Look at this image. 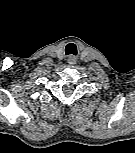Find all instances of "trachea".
I'll list each match as a JSON object with an SVG mask.
<instances>
[{
	"instance_id": "1",
	"label": "trachea",
	"mask_w": 135,
	"mask_h": 153,
	"mask_svg": "<svg viewBox=\"0 0 135 153\" xmlns=\"http://www.w3.org/2000/svg\"><path fill=\"white\" fill-rule=\"evenodd\" d=\"M66 55H77V47L74 43H69L65 47Z\"/></svg>"
}]
</instances>
